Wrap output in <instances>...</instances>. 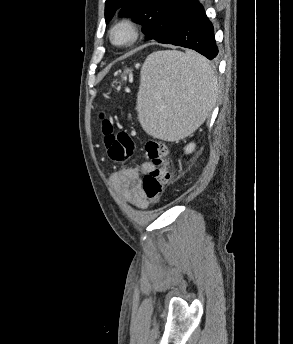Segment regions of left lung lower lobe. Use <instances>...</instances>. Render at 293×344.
I'll list each match as a JSON object with an SVG mask.
<instances>
[{
    "instance_id": "obj_1",
    "label": "left lung lower lobe",
    "mask_w": 293,
    "mask_h": 344,
    "mask_svg": "<svg viewBox=\"0 0 293 344\" xmlns=\"http://www.w3.org/2000/svg\"><path fill=\"white\" fill-rule=\"evenodd\" d=\"M159 43L193 49L209 60L218 55L213 25L198 0H192L176 27Z\"/></svg>"
}]
</instances>
